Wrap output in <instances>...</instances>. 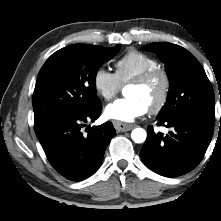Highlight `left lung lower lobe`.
Instances as JSON below:
<instances>
[{"instance_id": "obj_1", "label": "left lung lower lobe", "mask_w": 221, "mask_h": 221, "mask_svg": "<svg viewBox=\"0 0 221 221\" xmlns=\"http://www.w3.org/2000/svg\"><path fill=\"white\" fill-rule=\"evenodd\" d=\"M158 125L173 127L175 131L162 136L152 126L140 155L152 171L175 177L193 170L203 159L213 135V123L192 114L158 119Z\"/></svg>"}]
</instances>
